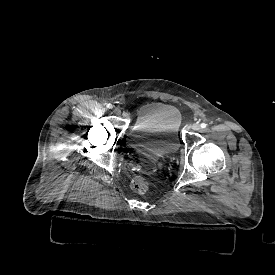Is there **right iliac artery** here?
<instances>
[{
    "instance_id": "1",
    "label": "right iliac artery",
    "mask_w": 275,
    "mask_h": 275,
    "mask_svg": "<svg viewBox=\"0 0 275 275\" xmlns=\"http://www.w3.org/2000/svg\"><path fill=\"white\" fill-rule=\"evenodd\" d=\"M107 108L111 109V108H113V105L109 103V104H107Z\"/></svg>"
}]
</instances>
